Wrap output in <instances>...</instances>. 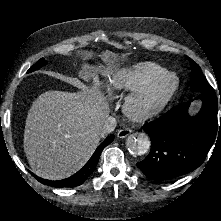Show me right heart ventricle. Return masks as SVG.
<instances>
[{"label":"right heart ventricle","mask_w":221,"mask_h":221,"mask_svg":"<svg viewBox=\"0 0 221 221\" xmlns=\"http://www.w3.org/2000/svg\"><path fill=\"white\" fill-rule=\"evenodd\" d=\"M166 73L168 72L165 68L155 63H139L112 73L109 77V85L114 91H138Z\"/></svg>","instance_id":"right-heart-ventricle-1"}]
</instances>
